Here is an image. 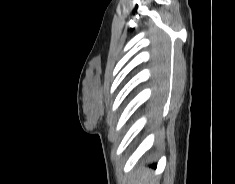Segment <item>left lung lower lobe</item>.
<instances>
[{
  "instance_id": "1",
  "label": "left lung lower lobe",
  "mask_w": 235,
  "mask_h": 184,
  "mask_svg": "<svg viewBox=\"0 0 235 184\" xmlns=\"http://www.w3.org/2000/svg\"><path fill=\"white\" fill-rule=\"evenodd\" d=\"M153 168H156V164L151 165Z\"/></svg>"
}]
</instances>
